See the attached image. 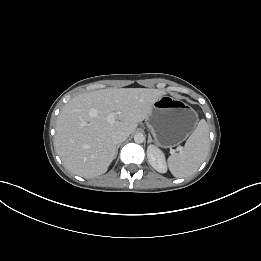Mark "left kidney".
Masks as SVG:
<instances>
[{
    "label": "left kidney",
    "instance_id": "1",
    "mask_svg": "<svg viewBox=\"0 0 261 261\" xmlns=\"http://www.w3.org/2000/svg\"><path fill=\"white\" fill-rule=\"evenodd\" d=\"M147 158L151 166L160 173L167 171L164 154L154 145L147 148Z\"/></svg>",
    "mask_w": 261,
    "mask_h": 261
}]
</instances>
